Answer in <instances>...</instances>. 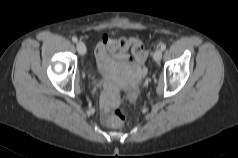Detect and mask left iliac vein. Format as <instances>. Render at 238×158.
<instances>
[{
  "label": "left iliac vein",
  "instance_id": "left-iliac-vein-1",
  "mask_svg": "<svg viewBox=\"0 0 238 158\" xmlns=\"http://www.w3.org/2000/svg\"><path fill=\"white\" fill-rule=\"evenodd\" d=\"M153 58L156 62H159L162 58V50L161 49H156L154 54H153Z\"/></svg>",
  "mask_w": 238,
  "mask_h": 158
}]
</instances>
